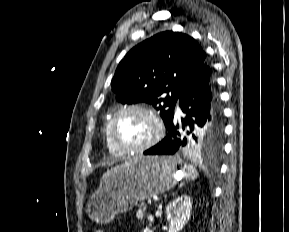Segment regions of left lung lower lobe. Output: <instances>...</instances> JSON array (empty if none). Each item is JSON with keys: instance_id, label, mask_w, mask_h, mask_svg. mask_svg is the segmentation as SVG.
Returning a JSON list of instances; mask_svg holds the SVG:
<instances>
[{"instance_id": "1", "label": "left lung lower lobe", "mask_w": 289, "mask_h": 232, "mask_svg": "<svg viewBox=\"0 0 289 232\" xmlns=\"http://www.w3.org/2000/svg\"><path fill=\"white\" fill-rule=\"evenodd\" d=\"M179 106L186 114L181 122L173 117L167 128V136L145 155H173L186 152L188 136L208 125L222 122V113L216 91L215 76L211 65L206 61L179 98ZM185 131V134L182 132Z\"/></svg>"}]
</instances>
